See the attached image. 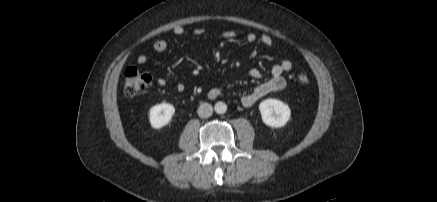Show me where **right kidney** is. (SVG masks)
I'll list each match as a JSON object with an SVG mask.
<instances>
[{"label": "right kidney", "instance_id": "right-kidney-1", "mask_svg": "<svg viewBox=\"0 0 437 202\" xmlns=\"http://www.w3.org/2000/svg\"><path fill=\"white\" fill-rule=\"evenodd\" d=\"M175 113L173 105L161 103L153 106L149 111V121L153 128L160 129L167 125Z\"/></svg>", "mask_w": 437, "mask_h": 202}]
</instances>
